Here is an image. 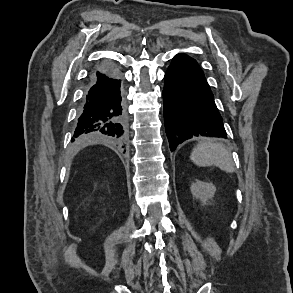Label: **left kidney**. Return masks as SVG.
<instances>
[{
  "mask_svg": "<svg viewBox=\"0 0 293 293\" xmlns=\"http://www.w3.org/2000/svg\"><path fill=\"white\" fill-rule=\"evenodd\" d=\"M193 197L207 204L209 199L214 197L216 187L213 183L196 181L190 187Z\"/></svg>",
  "mask_w": 293,
  "mask_h": 293,
  "instance_id": "5707ae66",
  "label": "left kidney"
}]
</instances>
